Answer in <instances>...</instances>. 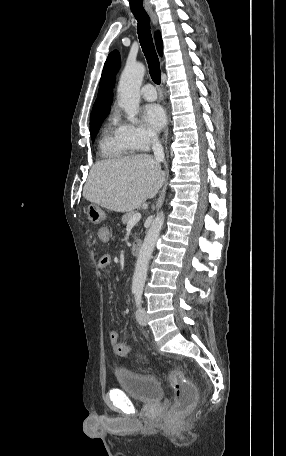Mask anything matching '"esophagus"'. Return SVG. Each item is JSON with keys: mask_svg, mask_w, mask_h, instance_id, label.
I'll use <instances>...</instances> for the list:
<instances>
[{"mask_svg": "<svg viewBox=\"0 0 286 456\" xmlns=\"http://www.w3.org/2000/svg\"><path fill=\"white\" fill-rule=\"evenodd\" d=\"M149 16L151 18V21H152L153 25L156 26L157 22H158V19H157V16H156L155 12L154 11H150L149 12Z\"/></svg>", "mask_w": 286, "mask_h": 456, "instance_id": "1", "label": "esophagus"}]
</instances>
